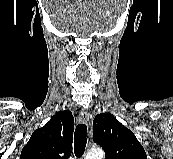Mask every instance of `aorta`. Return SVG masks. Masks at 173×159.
I'll return each mask as SVG.
<instances>
[{"label": "aorta", "mask_w": 173, "mask_h": 159, "mask_svg": "<svg viewBox=\"0 0 173 159\" xmlns=\"http://www.w3.org/2000/svg\"><path fill=\"white\" fill-rule=\"evenodd\" d=\"M104 152L100 148H93L87 152L85 159H103Z\"/></svg>", "instance_id": "762f6f07"}]
</instances>
